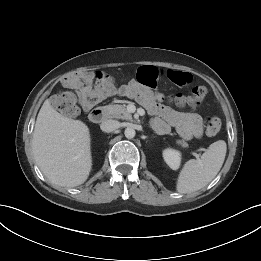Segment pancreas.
<instances>
[{"mask_svg": "<svg viewBox=\"0 0 261 261\" xmlns=\"http://www.w3.org/2000/svg\"><path fill=\"white\" fill-rule=\"evenodd\" d=\"M105 110L108 112L109 117L117 118V119H126L131 120L132 115L127 111L125 106L123 105H107L105 106ZM177 144L181 145L183 148L188 147V143L184 140H177Z\"/></svg>", "mask_w": 261, "mask_h": 261, "instance_id": "1", "label": "pancreas"}]
</instances>
